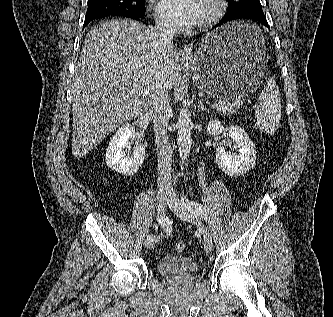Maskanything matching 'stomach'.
I'll return each instance as SVG.
<instances>
[{"instance_id":"stomach-1","label":"stomach","mask_w":333,"mask_h":317,"mask_svg":"<svg viewBox=\"0 0 333 317\" xmlns=\"http://www.w3.org/2000/svg\"><path fill=\"white\" fill-rule=\"evenodd\" d=\"M260 24L235 21L205 36L186 63L197 87L225 101L261 95L270 82L264 75L265 40Z\"/></svg>"}]
</instances>
